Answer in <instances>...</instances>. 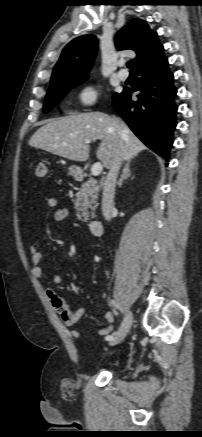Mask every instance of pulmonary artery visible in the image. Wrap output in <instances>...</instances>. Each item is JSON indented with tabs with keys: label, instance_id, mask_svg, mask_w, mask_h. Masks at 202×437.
<instances>
[{
	"label": "pulmonary artery",
	"instance_id": "e3ab8cb5",
	"mask_svg": "<svg viewBox=\"0 0 202 437\" xmlns=\"http://www.w3.org/2000/svg\"><path fill=\"white\" fill-rule=\"evenodd\" d=\"M119 65L123 66V62H121ZM117 76L120 80L125 81L128 79L129 74L125 69H121L118 71Z\"/></svg>",
	"mask_w": 202,
	"mask_h": 437
}]
</instances>
